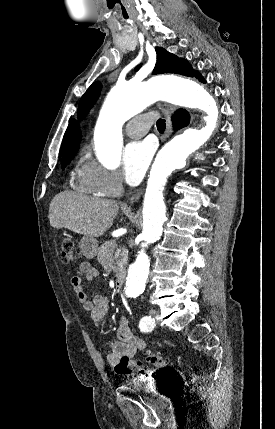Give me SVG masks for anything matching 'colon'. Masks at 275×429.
<instances>
[{
  "mask_svg": "<svg viewBox=\"0 0 275 429\" xmlns=\"http://www.w3.org/2000/svg\"><path fill=\"white\" fill-rule=\"evenodd\" d=\"M76 248L74 246V243L69 240H64L61 245V260L65 265L72 264L76 260ZM147 361L152 366L158 368V369H164L167 368L170 365V361L158 354H149L147 357ZM138 376L144 377L146 376L147 372L141 368V366H138ZM118 372L121 374H126L129 372V368L127 367V364L123 362L118 367ZM198 376L194 374L192 376V383L197 380Z\"/></svg>",
  "mask_w": 275,
  "mask_h": 429,
  "instance_id": "5ec220e1",
  "label": "colon"
}]
</instances>
